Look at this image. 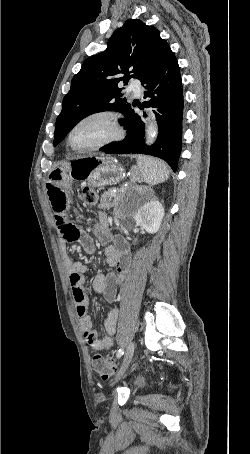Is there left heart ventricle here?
<instances>
[{
	"mask_svg": "<svg viewBox=\"0 0 250 454\" xmlns=\"http://www.w3.org/2000/svg\"><path fill=\"white\" fill-rule=\"evenodd\" d=\"M110 134V126L104 119H96L80 126L72 136V144L77 148L90 146Z\"/></svg>",
	"mask_w": 250,
	"mask_h": 454,
	"instance_id": "1",
	"label": "left heart ventricle"
}]
</instances>
